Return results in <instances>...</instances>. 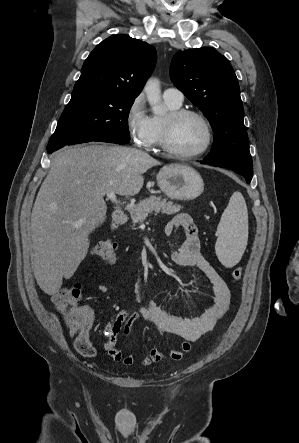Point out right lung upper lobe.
<instances>
[{
  "mask_svg": "<svg viewBox=\"0 0 299 443\" xmlns=\"http://www.w3.org/2000/svg\"><path fill=\"white\" fill-rule=\"evenodd\" d=\"M155 63L153 46L127 35L111 36L85 60L73 91L100 90L136 98Z\"/></svg>",
  "mask_w": 299,
  "mask_h": 443,
  "instance_id": "right-lung-upper-lobe-1",
  "label": "right lung upper lobe"
}]
</instances>
